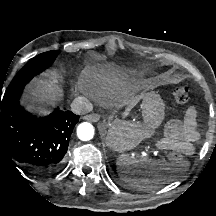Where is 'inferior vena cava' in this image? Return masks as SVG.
<instances>
[{
    "label": "inferior vena cava",
    "instance_id": "inferior-vena-cava-1",
    "mask_svg": "<svg viewBox=\"0 0 216 216\" xmlns=\"http://www.w3.org/2000/svg\"><path fill=\"white\" fill-rule=\"evenodd\" d=\"M92 103L85 97H77L71 103V110L75 114H86L92 111Z\"/></svg>",
    "mask_w": 216,
    "mask_h": 216
}]
</instances>
